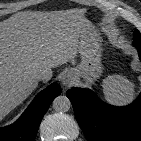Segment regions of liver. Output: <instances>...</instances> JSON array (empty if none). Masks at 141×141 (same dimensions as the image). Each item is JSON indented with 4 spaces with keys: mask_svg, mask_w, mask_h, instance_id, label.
Listing matches in <instances>:
<instances>
[{
    "mask_svg": "<svg viewBox=\"0 0 141 141\" xmlns=\"http://www.w3.org/2000/svg\"><path fill=\"white\" fill-rule=\"evenodd\" d=\"M84 9L23 11L0 22V120L37 87V71L74 59L92 25Z\"/></svg>",
    "mask_w": 141,
    "mask_h": 141,
    "instance_id": "obj_1",
    "label": "liver"
}]
</instances>
